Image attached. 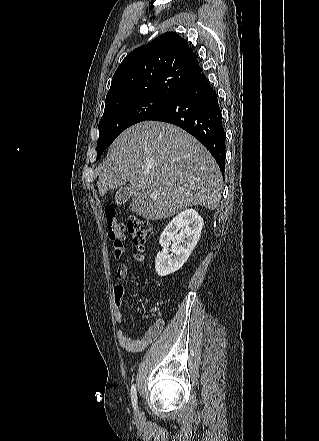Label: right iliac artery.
<instances>
[{
	"mask_svg": "<svg viewBox=\"0 0 319 441\" xmlns=\"http://www.w3.org/2000/svg\"><path fill=\"white\" fill-rule=\"evenodd\" d=\"M131 400L134 410H137V392L134 384L131 387Z\"/></svg>",
	"mask_w": 319,
	"mask_h": 441,
	"instance_id": "right-iliac-artery-1",
	"label": "right iliac artery"
}]
</instances>
